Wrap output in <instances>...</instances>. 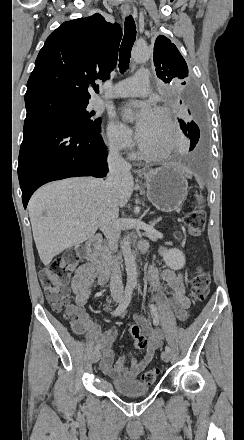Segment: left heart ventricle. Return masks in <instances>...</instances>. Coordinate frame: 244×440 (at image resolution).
I'll use <instances>...</instances> for the list:
<instances>
[{
    "instance_id": "b2bd125f",
    "label": "left heart ventricle",
    "mask_w": 244,
    "mask_h": 440,
    "mask_svg": "<svg viewBox=\"0 0 244 440\" xmlns=\"http://www.w3.org/2000/svg\"><path fill=\"white\" fill-rule=\"evenodd\" d=\"M167 126V116L164 113L154 111L148 125L142 130L148 144L156 145L165 136Z\"/></svg>"
}]
</instances>
